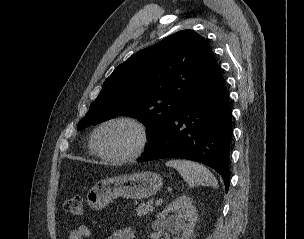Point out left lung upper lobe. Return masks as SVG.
<instances>
[{"label": "left lung upper lobe", "mask_w": 304, "mask_h": 239, "mask_svg": "<svg viewBox=\"0 0 304 239\" xmlns=\"http://www.w3.org/2000/svg\"><path fill=\"white\" fill-rule=\"evenodd\" d=\"M215 64L209 44L195 31L170 35L115 68L77 129L117 115L132 116L147 126L150 145Z\"/></svg>", "instance_id": "obj_1"}]
</instances>
